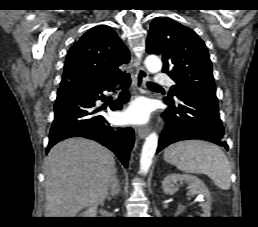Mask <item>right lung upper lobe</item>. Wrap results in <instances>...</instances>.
I'll return each mask as SVG.
<instances>
[{"label": "right lung upper lobe", "mask_w": 258, "mask_h": 227, "mask_svg": "<svg viewBox=\"0 0 258 227\" xmlns=\"http://www.w3.org/2000/svg\"><path fill=\"white\" fill-rule=\"evenodd\" d=\"M130 53L116 32L106 25L93 27L68 51L58 92L80 82H109L122 74L119 66Z\"/></svg>", "instance_id": "cb5924a9"}]
</instances>
